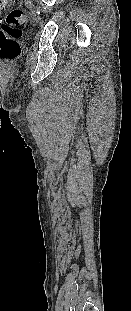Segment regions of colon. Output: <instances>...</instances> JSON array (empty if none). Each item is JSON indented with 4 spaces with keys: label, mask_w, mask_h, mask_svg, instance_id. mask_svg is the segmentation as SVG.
Masks as SVG:
<instances>
[{
    "label": "colon",
    "mask_w": 131,
    "mask_h": 311,
    "mask_svg": "<svg viewBox=\"0 0 131 311\" xmlns=\"http://www.w3.org/2000/svg\"><path fill=\"white\" fill-rule=\"evenodd\" d=\"M6 5L7 0H0V60H13L21 50L18 39L26 29L28 14L23 8H14L2 18Z\"/></svg>",
    "instance_id": "obj_1"
}]
</instances>
